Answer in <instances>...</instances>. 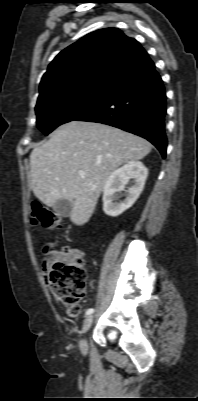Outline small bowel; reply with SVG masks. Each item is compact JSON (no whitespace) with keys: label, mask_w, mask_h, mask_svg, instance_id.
I'll return each mask as SVG.
<instances>
[{"label":"small bowel","mask_w":198,"mask_h":401,"mask_svg":"<svg viewBox=\"0 0 198 401\" xmlns=\"http://www.w3.org/2000/svg\"><path fill=\"white\" fill-rule=\"evenodd\" d=\"M43 260L41 263V272L45 278H47L51 272L53 265L60 261H71L77 258L85 256V252L78 249L72 248L68 252L51 250V246L47 244L42 249Z\"/></svg>","instance_id":"1"}]
</instances>
